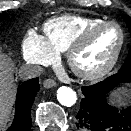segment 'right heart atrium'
I'll return each instance as SVG.
<instances>
[{
    "mask_svg": "<svg viewBox=\"0 0 131 131\" xmlns=\"http://www.w3.org/2000/svg\"><path fill=\"white\" fill-rule=\"evenodd\" d=\"M21 51L25 61L37 65L51 64L58 56L44 37L34 31L28 32L23 39Z\"/></svg>",
    "mask_w": 131,
    "mask_h": 131,
    "instance_id": "right-heart-atrium-1",
    "label": "right heart atrium"
}]
</instances>
